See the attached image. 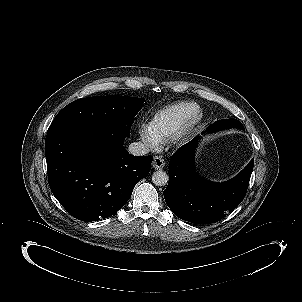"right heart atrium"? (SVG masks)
<instances>
[{
	"mask_svg": "<svg viewBox=\"0 0 302 302\" xmlns=\"http://www.w3.org/2000/svg\"><path fill=\"white\" fill-rule=\"evenodd\" d=\"M138 136L141 142L150 150H156L162 144V140L146 125L138 128Z\"/></svg>",
	"mask_w": 302,
	"mask_h": 302,
	"instance_id": "obj_1",
	"label": "right heart atrium"
}]
</instances>
